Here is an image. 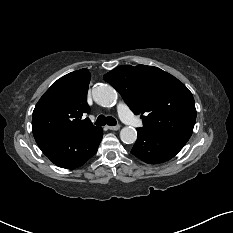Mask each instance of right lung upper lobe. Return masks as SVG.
I'll return each instance as SVG.
<instances>
[{"label":"right lung upper lobe","instance_id":"1","mask_svg":"<svg viewBox=\"0 0 233 233\" xmlns=\"http://www.w3.org/2000/svg\"><path fill=\"white\" fill-rule=\"evenodd\" d=\"M90 72L81 69L58 79L40 98L32 117L34 138L77 137L97 127L88 118L82 120L90 108L86 102Z\"/></svg>","mask_w":233,"mask_h":233}]
</instances>
